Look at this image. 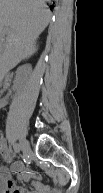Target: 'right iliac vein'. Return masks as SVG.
I'll return each instance as SVG.
<instances>
[{"instance_id":"63e3f726","label":"right iliac vein","mask_w":103,"mask_h":193,"mask_svg":"<svg viewBox=\"0 0 103 193\" xmlns=\"http://www.w3.org/2000/svg\"><path fill=\"white\" fill-rule=\"evenodd\" d=\"M20 147H21V151H22L23 155H27L29 150H30L28 142L26 140H22L20 142Z\"/></svg>"}]
</instances>
